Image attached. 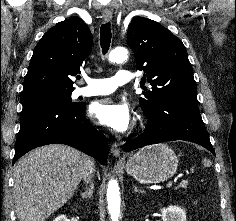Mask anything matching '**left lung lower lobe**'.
<instances>
[{"instance_id": "1", "label": "left lung lower lobe", "mask_w": 236, "mask_h": 221, "mask_svg": "<svg viewBox=\"0 0 236 221\" xmlns=\"http://www.w3.org/2000/svg\"><path fill=\"white\" fill-rule=\"evenodd\" d=\"M144 114L148 119L144 133L125 143L126 152L153 143L186 140L205 147L215 155L197 101L168 99Z\"/></svg>"}]
</instances>
